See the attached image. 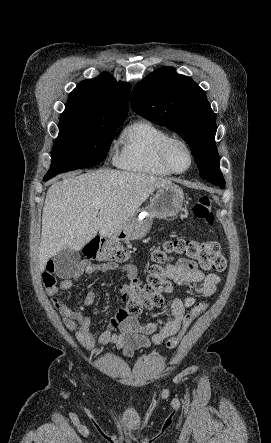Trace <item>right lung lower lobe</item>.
Returning a JSON list of instances; mask_svg holds the SVG:
<instances>
[{
	"instance_id": "obj_1",
	"label": "right lung lower lobe",
	"mask_w": 271,
	"mask_h": 443,
	"mask_svg": "<svg viewBox=\"0 0 271 443\" xmlns=\"http://www.w3.org/2000/svg\"><path fill=\"white\" fill-rule=\"evenodd\" d=\"M54 176L55 175H45L44 180L47 181V180L51 179Z\"/></svg>"
}]
</instances>
